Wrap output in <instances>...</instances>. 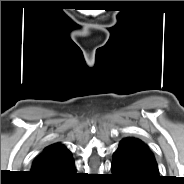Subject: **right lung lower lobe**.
Masks as SVG:
<instances>
[{"instance_id":"98d812e1","label":"right lung lower lobe","mask_w":184,"mask_h":184,"mask_svg":"<svg viewBox=\"0 0 184 184\" xmlns=\"http://www.w3.org/2000/svg\"><path fill=\"white\" fill-rule=\"evenodd\" d=\"M75 170L74 161L71 157L54 170L35 176L38 179L37 182L42 184H69L76 175Z\"/></svg>"}]
</instances>
